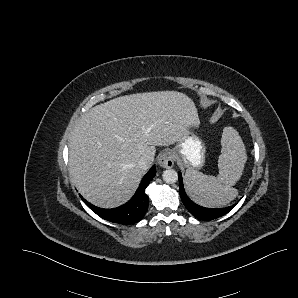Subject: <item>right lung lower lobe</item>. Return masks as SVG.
I'll return each mask as SVG.
<instances>
[{"mask_svg":"<svg viewBox=\"0 0 298 298\" xmlns=\"http://www.w3.org/2000/svg\"><path fill=\"white\" fill-rule=\"evenodd\" d=\"M156 174L155 166L143 177L134 196L124 205L114 209H102L88 203L82 196L84 203L101 218L119 224H133L140 221L148 209L149 198L145 189Z\"/></svg>","mask_w":298,"mask_h":298,"instance_id":"obj_1","label":"right lung lower lobe"}]
</instances>
